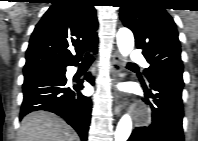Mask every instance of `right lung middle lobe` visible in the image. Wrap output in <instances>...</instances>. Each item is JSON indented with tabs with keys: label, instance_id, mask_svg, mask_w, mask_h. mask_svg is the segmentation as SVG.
Here are the masks:
<instances>
[{
	"label": "right lung middle lobe",
	"instance_id": "obj_1",
	"mask_svg": "<svg viewBox=\"0 0 198 141\" xmlns=\"http://www.w3.org/2000/svg\"><path fill=\"white\" fill-rule=\"evenodd\" d=\"M55 69H58V68H46V69H41V70H37V71L27 72V73H24V76L34 74V73L44 72V71H48V70H55Z\"/></svg>",
	"mask_w": 198,
	"mask_h": 141
}]
</instances>
